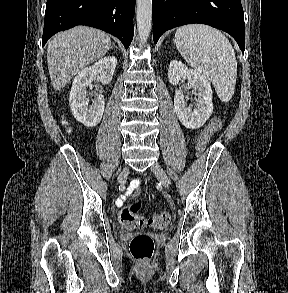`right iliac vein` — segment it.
Returning a JSON list of instances; mask_svg holds the SVG:
<instances>
[{
  "mask_svg": "<svg viewBox=\"0 0 288 293\" xmlns=\"http://www.w3.org/2000/svg\"><path fill=\"white\" fill-rule=\"evenodd\" d=\"M129 174V169L127 167L123 168L121 171L119 177H118V182L121 183L126 180L127 176Z\"/></svg>",
  "mask_w": 288,
  "mask_h": 293,
  "instance_id": "63e3f726",
  "label": "right iliac vein"
}]
</instances>
